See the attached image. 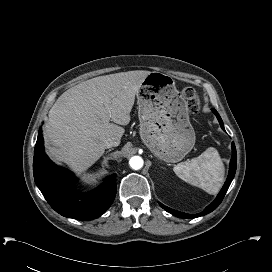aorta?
<instances>
[{"mask_svg":"<svg viewBox=\"0 0 272 272\" xmlns=\"http://www.w3.org/2000/svg\"><path fill=\"white\" fill-rule=\"evenodd\" d=\"M144 161L140 156H133L129 160V165L134 170H139L143 167Z\"/></svg>","mask_w":272,"mask_h":272,"instance_id":"1","label":"aorta"}]
</instances>
